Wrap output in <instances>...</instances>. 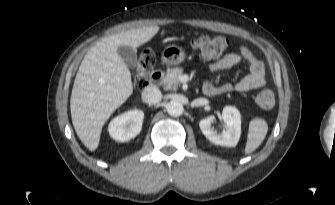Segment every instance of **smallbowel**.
Segmentation results:
<instances>
[{"instance_id":"1","label":"small bowel","mask_w":335,"mask_h":205,"mask_svg":"<svg viewBox=\"0 0 335 205\" xmlns=\"http://www.w3.org/2000/svg\"><path fill=\"white\" fill-rule=\"evenodd\" d=\"M244 60L249 63V73L245 77H243L236 85L233 86L229 83H226L221 86H215L207 83L205 84V86H209L215 89V95L228 93L233 90L238 92H248L263 87L266 83L264 64L258 58H256L252 54V52L249 51L246 47H241L238 52L228 53L222 58L212 62L209 65V69L212 72L229 69L233 66L241 64Z\"/></svg>"}]
</instances>
